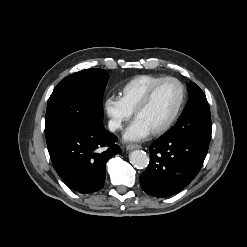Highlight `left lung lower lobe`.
<instances>
[{"label": "left lung lower lobe", "instance_id": "obj_1", "mask_svg": "<svg viewBox=\"0 0 247 247\" xmlns=\"http://www.w3.org/2000/svg\"><path fill=\"white\" fill-rule=\"evenodd\" d=\"M209 139L165 133L151 144L150 163L140 176L142 189L167 197L183 189L201 169Z\"/></svg>", "mask_w": 247, "mask_h": 247}]
</instances>
